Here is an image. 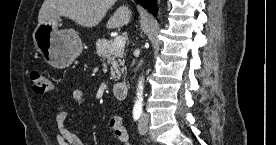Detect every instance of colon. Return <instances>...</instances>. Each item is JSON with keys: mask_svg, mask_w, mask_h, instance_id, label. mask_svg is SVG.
<instances>
[{"mask_svg": "<svg viewBox=\"0 0 276 145\" xmlns=\"http://www.w3.org/2000/svg\"><path fill=\"white\" fill-rule=\"evenodd\" d=\"M32 89L35 94H45L52 89V85L47 76L40 70H32L30 73Z\"/></svg>", "mask_w": 276, "mask_h": 145, "instance_id": "5ec220e1", "label": "colon"}]
</instances>
